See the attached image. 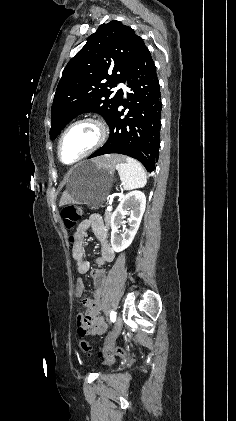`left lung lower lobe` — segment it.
I'll list each match as a JSON object with an SVG mask.
<instances>
[{"mask_svg":"<svg viewBox=\"0 0 236 421\" xmlns=\"http://www.w3.org/2000/svg\"><path fill=\"white\" fill-rule=\"evenodd\" d=\"M125 81L130 92L127 99H123L122 94L108 122V141L88 158L110 153L124 154L139 160L148 172H152L159 157L162 104L156 67L144 44L137 50ZM126 109L129 110L127 113Z\"/></svg>","mask_w":236,"mask_h":421,"instance_id":"0a47b994","label":"left lung lower lobe"}]
</instances>
